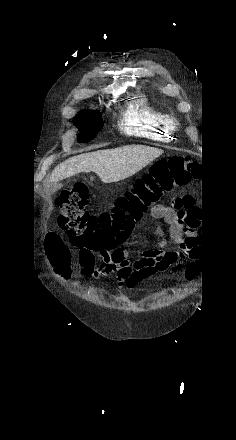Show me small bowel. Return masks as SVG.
<instances>
[{"mask_svg": "<svg viewBox=\"0 0 236 440\" xmlns=\"http://www.w3.org/2000/svg\"><path fill=\"white\" fill-rule=\"evenodd\" d=\"M156 220H163L169 225V241L178 247V251L168 250V240L160 227L155 232L162 236L159 248L145 251L131 263L128 260V249L118 247L114 250H98L102 259L95 267L94 250L87 247L78 248V259L81 266L80 277L101 278L116 274L119 288L134 289L144 280L156 273L171 271L182 273L186 281L194 280L200 272V255L196 252L197 233L193 230L199 211L195 207V198L191 194L177 195L171 205L156 204L151 211ZM189 220V227L186 221ZM57 255L65 269L70 260V252L66 246L57 247ZM189 257L191 262H187Z\"/></svg>", "mask_w": 236, "mask_h": 440, "instance_id": "small-bowel-1", "label": "small bowel"}]
</instances>
